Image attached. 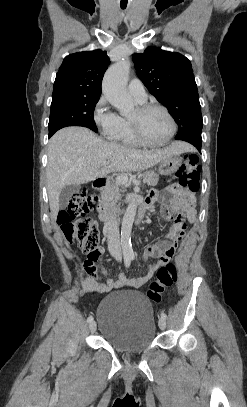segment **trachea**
Instances as JSON below:
<instances>
[{
    "instance_id": "obj_1",
    "label": "trachea",
    "mask_w": 247,
    "mask_h": 407,
    "mask_svg": "<svg viewBox=\"0 0 247 407\" xmlns=\"http://www.w3.org/2000/svg\"><path fill=\"white\" fill-rule=\"evenodd\" d=\"M121 8H122V9H125V8H126V6H121Z\"/></svg>"
}]
</instances>
